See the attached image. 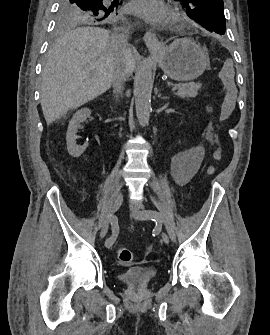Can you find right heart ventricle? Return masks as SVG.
Returning a JSON list of instances; mask_svg holds the SVG:
<instances>
[{"label":"right heart ventricle","instance_id":"1","mask_svg":"<svg viewBox=\"0 0 270 335\" xmlns=\"http://www.w3.org/2000/svg\"><path fill=\"white\" fill-rule=\"evenodd\" d=\"M136 78H146V77H136Z\"/></svg>","mask_w":270,"mask_h":335}]
</instances>
